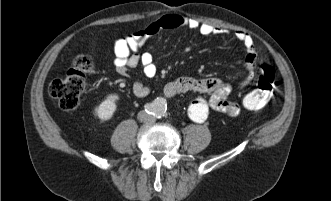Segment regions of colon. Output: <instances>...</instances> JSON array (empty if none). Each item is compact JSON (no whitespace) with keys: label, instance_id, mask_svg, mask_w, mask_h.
Returning <instances> with one entry per match:
<instances>
[{"label":"colon","instance_id":"colon-1","mask_svg":"<svg viewBox=\"0 0 331 201\" xmlns=\"http://www.w3.org/2000/svg\"><path fill=\"white\" fill-rule=\"evenodd\" d=\"M260 73L256 88L245 95L242 105L248 110H259L270 101L276 81L275 67L267 61L260 63ZM93 70V58L90 54H81L67 73L53 80L49 85V94L57 100L63 110L78 107L86 87V77Z\"/></svg>","mask_w":331,"mask_h":201}]
</instances>
